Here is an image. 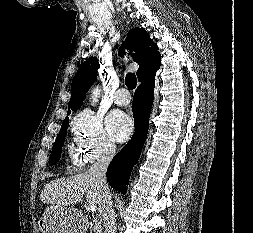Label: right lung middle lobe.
<instances>
[{
  "mask_svg": "<svg viewBox=\"0 0 253 233\" xmlns=\"http://www.w3.org/2000/svg\"><path fill=\"white\" fill-rule=\"evenodd\" d=\"M68 125H69V119L67 118L62 123L60 133L58 134L56 141L54 143V146L50 155V159H49V165L56 164L60 159L62 145L64 143Z\"/></svg>",
  "mask_w": 253,
  "mask_h": 233,
  "instance_id": "dd1d6c3e",
  "label": "right lung middle lobe"
}]
</instances>
